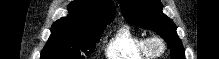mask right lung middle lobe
Wrapping results in <instances>:
<instances>
[{"mask_svg": "<svg viewBox=\"0 0 219 59\" xmlns=\"http://www.w3.org/2000/svg\"><path fill=\"white\" fill-rule=\"evenodd\" d=\"M105 27L54 23L40 59H84L94 51Z\"/></svg>", "mask_w": 219, "mask_h": 59, "instance_id": "1", "label": "right lung middle lobe"}]
</instances>
